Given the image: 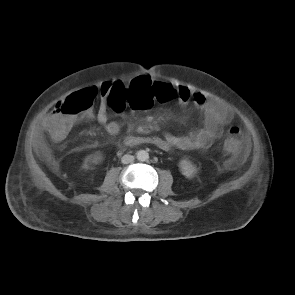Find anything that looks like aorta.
<instances>
[{"instance_id": "762f6f07", "label": "aorta", "mask_w": 295, "mask_h": 295, "mask_svg": "<svg viewBox=\"0 0 295 295\" xmlns=\"http://www.w3.org/2000/svg\"><path fill=\"white\" fill-rule=\"evenodd\" d=\"M136 155L139 161H147L149 159V154L145 150H139Z\"/></svg>"}]
</instances>
